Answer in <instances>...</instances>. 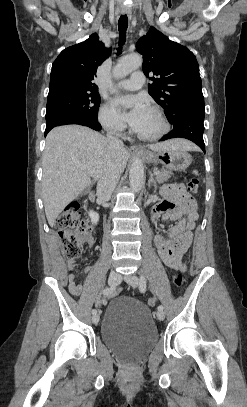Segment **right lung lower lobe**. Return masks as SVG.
<instances>
[{
	"instance_id": "1",
	"label": "right lung lower lobe",
	"mask_w": 247,
	"mask_h": 407,
	"mask_svg": "<svg viewBox=\"0 0 247 407\" xmlns=\"http://www.w3.org/2000/svg\"><path fill=\"white\" fill-rule=\"evenodd\" d=\"M65 124H79L88 126L96 131L101 130L98 120L88 119L78 115H61L46 121L45 136L52 128Z\"/></svg>"
}]
</instances>
